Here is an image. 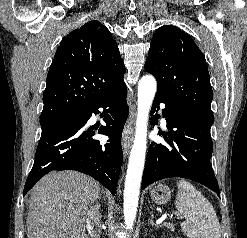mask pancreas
<instances>
[{
	"label": "pancreas",
	"instance_id": "obj_1",
	"mask_svg": "<svg viewBox=\"0 0 247 238\" xmlns=\"http://www.w3.org/2000/svg\"><path fill=\"white\" fill-rule=\"evenodd\" d=\"M164 226L170 229L171 231L175 230L174 224L173 223H164Z\"/></svg>",
	"mask_w": 247,
	"mask_h": 238
}]
</instances>
